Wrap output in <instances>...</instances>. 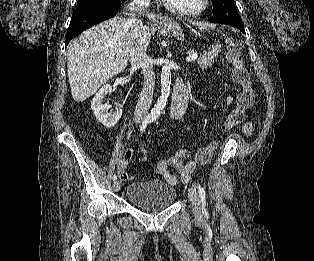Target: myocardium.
<instances>
[{
	"instance_id": "f54148a6",
	"label": "myocardium",
	"mask_w": 314,
	"mask_h": 261,
	"mask_svg": "<svg viewBox=\"0 0 314 261\" xmlns=\"http://www.w3.org/2000/svg\"><path fill=\"white\" fill-rule=\"evenodd\" d=\"M163 1H164L165 7L169 11H171L177 15L186 16V17L197 16V15L203 13L208 8L209 2H210V0H201L198 7L194 8V9H183V8H179L175 5H173L168 0H163Z\"/></svg>"
}]
</instances>
